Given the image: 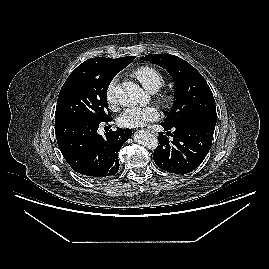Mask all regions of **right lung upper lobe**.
I'll use <instances>...</instances> for the list:
<instances>
[{
  "mask_svg": "<svg viewBox=\"0 0 269 269\" xmlns=\"http://www.w3.org/2000/svg\"><path fill=\"white\" fill-rule=\"evenodd\" d=\"M135 56L122 57L117 59L90 58L80 64L77 69L92 71L97 73H118L129 65Z\"/></svg>",
  "mask_w": 269,
  "mask_h": 269,
  "instance_id": "cb5924a9",
  "label": "right lung upper lobe"
}]
</instances>
